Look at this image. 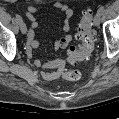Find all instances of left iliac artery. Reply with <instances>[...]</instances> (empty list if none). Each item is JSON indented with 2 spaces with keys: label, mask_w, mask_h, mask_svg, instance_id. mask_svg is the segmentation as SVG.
<instances>
[{
  "label": "left iliac artery",
  "mask_w": 119,
  "mask_h": 119,
  "mask_svg": "<svg viewBox=\"0 0 119 119\" xmlns=\"http://www.w3.org/2000/svg\"><path fill=\"white\" fill-rule=\"evenodd\" d=\"M105 11V7L104 6H101L99 9H98V12L103 14Z\"/></svg>",
  "instance_id": "left-iliac-artery-1"
}]
</instances>
